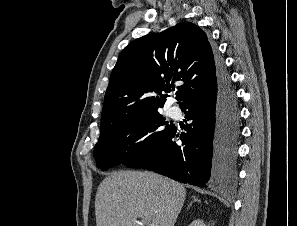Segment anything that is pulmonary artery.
Masks as SVG:
<instances>
[{
  "label": "pulmonary artery",
  "mask_w": 297,
  "mask_h": 226,
  "mask_svg": "<svg viewBox=\"0 0 297 226\" xmlns=\"http://www.w3.org/2000/svg\"><path fill=\"white\" fill-rule=\"evenodd\" d=\"M180 114H181V112H180V109L178 108V107H172L171 109H170V115L173 117V118H177V117H179L180 116Z\"/></svg>",
  "instance_id": "1"
}]
</instances>
